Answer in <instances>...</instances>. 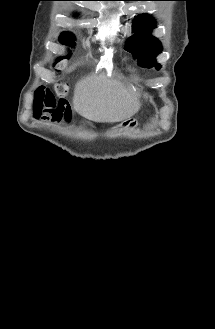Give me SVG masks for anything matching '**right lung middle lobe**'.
I'll return each instance as SVG.
<instances>
[{"mask_svg": "<svg viewBox=\"0 0 215 329\" xmlns=\"http://www.w3.org/2000/svg\"><path fill=\"white\" fill-rule=\"evenodd\" d=\"M69 39V37H65L63 40L65 41V40H68Z\"/></svg>", "mask_w": 215, "mask_h": 329, "instance_id": "right-lung-middle-lobe-1", "label": "right lung middle lobe"}]
</instances>
